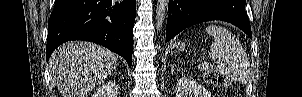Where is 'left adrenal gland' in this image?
Here are the masks:
<instances>
[{"label":"left adrenal gland","instance_id":"obj_1","mask_svg":"<svg viewBox=\"0 0 302 97\" xmlns=\"http://www.w3.org/2000/svg\"><path fill=\"white\" fill-rule=\"evenodd\" d=\"M175 70H178V69H175L174 66H172L171 73H173Z\"/></svg>","mask_w":302,"mask_h":97}]
</instances>
